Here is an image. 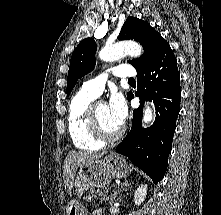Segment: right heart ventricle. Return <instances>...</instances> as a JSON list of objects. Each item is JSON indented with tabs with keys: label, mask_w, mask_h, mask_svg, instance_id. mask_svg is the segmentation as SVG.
Here are the masks:
<instances>
[{
	"label": "right heart ventricle",
	"mask_w": 221,
	"mask_h": 215,
	"mask_svg": "<svg viewBox=\"0 0 221 215\" xmlns=\"http://www.w3.org/2000/svg\"><path fill=\"white\" fill-rule=\"evenodd\" d=\"M95 96L81 90L71 99L67 115V127L73 145L82 151H95L103 146L88 126L87 109Z\"/></svg>",
	"instance_id": "1"
}]
</instances>
